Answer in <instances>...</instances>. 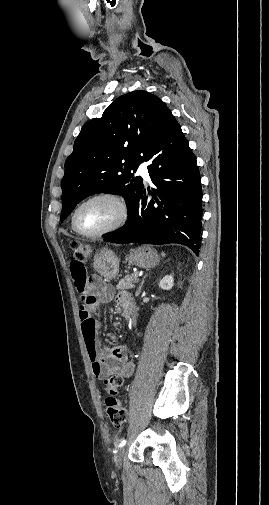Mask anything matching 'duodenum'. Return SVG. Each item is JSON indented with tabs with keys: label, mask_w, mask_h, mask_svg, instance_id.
Segmentation results:
<instances>
[{
	"label": "duodenum",
	"mask_w": 269,
	"mask_h": 505,
	"mask_svg": "<svg viewBox=\"0 0 269 505\" xmlns=\"http://www.w3.org/2000/svg\"><path fill=\"white\" fill-rule=\"evenodd\" d=\"M125 312H126V314H127L130 318L132 317V315H133L132 308H130V307H126V308H125Z\"/></svg>",
	"instance_id": "1"
}]
</instances>
